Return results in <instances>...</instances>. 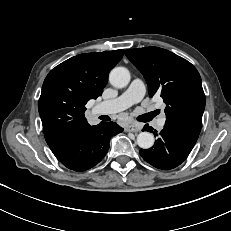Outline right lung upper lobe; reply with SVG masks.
<instances>
[{
	"mask_svg": "<svg viewBox=\"0 0 231 231\" xmlns=\"http://www.w3.org/2000/svg\"><path fill=\"white\" fill-rule=\"evenodd\" d=\"M123 52L80 54L49 72L42 86L38 108L45 140L54 154L72 136L90 126L84 115L85 105L102 94L108 74Z\"/></svg>",
	"mask_w": 231,
	"mask_h": 231,
	"instance_id": "obj_1",
	"label": "right lung upper lobe"
}]
</instances>
